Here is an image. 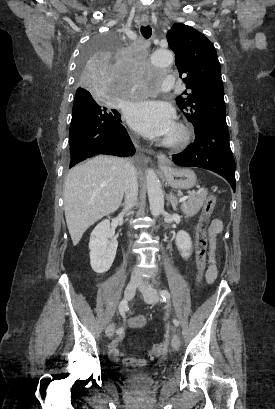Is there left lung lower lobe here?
<instances>
[{"label":"left lung lower lobe","mask_w":275,"mask_h":409,"mask_svg":"<svg viewBox=\"0 0 275 409\" xmlns=\"http://www.w3.org/2000/svg\"><path fill=\"white\" fill-rule=\"evenodd\" d=\"M193 144L183 152L173 155L174 163L187 167H200L223 176L235 191V160L229 144L226 123L204 124L198 131Z\"/></svg>","instance_id":"left-lung-lower-lobe-1"}]
</instances>
